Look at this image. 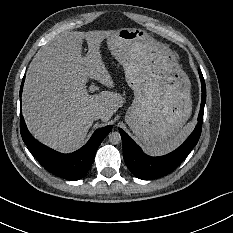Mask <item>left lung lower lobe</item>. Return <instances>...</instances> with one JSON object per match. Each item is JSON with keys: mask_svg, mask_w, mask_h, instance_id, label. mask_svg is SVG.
I'll return each mask as SVG.
<instances>
[{"mask_svg": "<svg viewBox=\"0 0 233 233\" xmlns=\"http://www.w3.org/2000/svg\"><path fill=\"white\" fill-rule=\"evenodd\" d=\"M202 86V100L198 116V124L188 139L173 152L161 156L151 157L143 153L141 148L121 128L119 132L123 143V157L129 170L138 178L155 179L165 176L176 169L190 151L196 146L202 130L204 105L206 102V86L199 69Z\"/></svg>", "mask_w": 233, "mask_h": 233, "instance_id": "0a47b994", "label": "left lung lower lobe"}]
</instances>
